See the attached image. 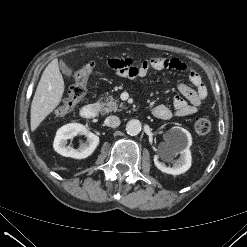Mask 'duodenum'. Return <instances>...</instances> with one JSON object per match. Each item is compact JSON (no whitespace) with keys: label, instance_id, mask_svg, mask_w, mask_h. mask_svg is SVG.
Returning <instances> with one entry per match:
<instances>
[{"label":"duodenum","instance_id":"1","mask_svg":"<svg viewBox=\"0 0 247 247\" xmlns=\"http://www.w3.org/2000/svg\"><path fill=\"white\" fill-rule=\"evenodd\" d=\"M98 114V106L96 104H87L80 110V115L84 119H93Z\"/></svg>","mask_w":247,"mask_h":247}]
</instances>
